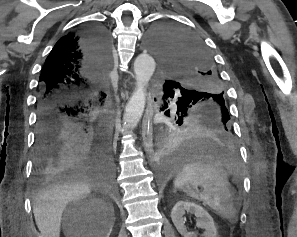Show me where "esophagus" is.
<instances>
[{
	"instance_id": "1",
	"label": "esophagus",
	"mask_w": 297,
	"mask_h": 237,
	"mask_svg": "<svg viewBox=\"0 0 297 237\" xmlns=\"http://www.w3.org/2000/svg\"><path fill=\"white\" fill-rule=\"evenodd\" d=\"M152 111L148 108L145 112L142 122V140L145 151L150 155L152 153Z\"/></svg>"
}]
</instances>
